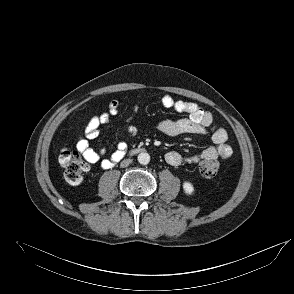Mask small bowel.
I'll return each instance as SVG.
<instances>
[{"mask_svg": "<svg viewBox=\"0 0 294 294\" xmlns=\"http://www.w3.org/2000/svg\"><path fill=\"white\" fill-rule=\"evenodd\" d=\"M161 102L164 107L179 113H186L187 116L178 120L165 119L159 121L156 127L160 132L168 136L182 134L205 135L210 133L213 143L202 152L191 156H184L177 151H169L165 155V160L169 165L176 167L183 164H196L203 158L227 159L232 155V148L227 143L228 135L226 130L215 124L210 112L205 111L196 103L175 100L168 94L162 97ZM137 109L138 106L132 108L127 120L128 122L132 120ZM118 112L119 102L117 100L111 101L106 112L93 116L86 123L84 136L80 137L77 141V150L84 159L89 163H98L104 169L112 168L124 157L127 149L126 143H118L115 150L109 156H106V149H93L89 144V140L97 138L100 134V127L108 124L111 118L117 115ZM127 129L132 135L136 133V128L131 124L127 126Z\"/></svg>", "mask_w": 294, "mask_h": 294, "instance_id": "small-bowel-1", "label": "small bowel"}]
</instances>
